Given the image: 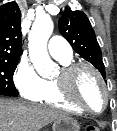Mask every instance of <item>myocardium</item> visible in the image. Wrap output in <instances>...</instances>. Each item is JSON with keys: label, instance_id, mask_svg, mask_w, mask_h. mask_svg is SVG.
I'll list each match as a JSON object with an SVG mask.
<instances>
[{"label": "myocardium", "instance_id": "obj_1", "mask_svg": "<svg viewBox=\"0 0 117 131\" xmlns=\"http://www.w3.org/2000/svg\"><path fill=\"white\" fill-rule=\"evenodd\" d=\"M83 69L89 70L95 76L103 92V98H104L103 106L101 110L99 111H94L91 108H89L75 94L74 81L77 74ZM56 82H57L59 91L61 95L64 97V99L67 100L72 105L79 108L80 110H82L83 112H87L94 115L100 114L106 109L108 105L109 93H108L105 81L102 75L100 74V72L89 63L77 62V63H70L66 66H63L59 76L56 78Z\"/></svg>", "mask_w": 117, "mask_h": 131}]
</instances>
